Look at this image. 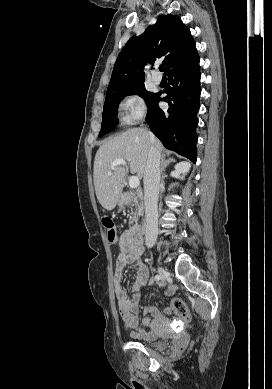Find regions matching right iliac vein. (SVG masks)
Wrapping results in <instances>:
<instances>
[{
  "label": "right iliac vein",
  "instance_id": "right-iliac-vein-1",
  "mask_svg": "<svg viewBox=\"0 0 272 389\" xmlns=\"http://www.w3.org/2000/svg\"><path fill=\"white\" fill-rule=\"evenodd\" d=\"M157 273L162 280H165L169 276L168 272L162 267L157 268Z\"/></svg>",
  "mask_w": 272,
  "mask_h": 389
}]
</instances>
